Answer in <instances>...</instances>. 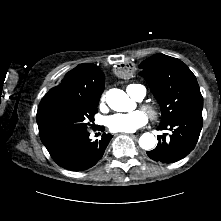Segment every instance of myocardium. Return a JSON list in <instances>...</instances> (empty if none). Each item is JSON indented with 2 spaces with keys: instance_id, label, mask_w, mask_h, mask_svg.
<instances>
[{
  "instance_id": "1",
  "label": "myocardium",
  "mask_w": 221,
  "mask_h": 221,
  "mask_svg": "<svg viewBox=\"0 0 221 221\" xmlns=\"http://www.w3.org/2000/svg\"><path fill=\"white\" fill-rule=\"evenodd\" d=\"M142 108L146 111L152 120H156L158 118L159 111L155 105L146 103L143 104Z\"/></svg>"
}]
</instances>
